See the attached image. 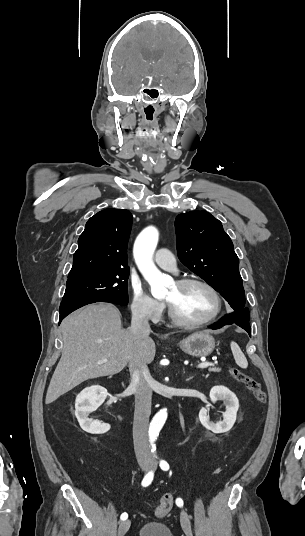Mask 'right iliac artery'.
I'll use <instances>...</instances> for the list:
<instances>
[{
	"instance_id": "1",
	"label": "right iliac artery",
	"mask_w": 305,
	"mask_h": 536,
	"mask_svg": "<svg viewBox=\"0 0 305 536\" xmlns=\"http://www.w3.org/2000/svg\"><path fill=\"white\" fill-rule=\"evenodd\" d=\"M153 477H154L153 472L152 471L148 472L145 475V477H144V479L142 481V486L146 487V486L150 485L152 480H153ZM120 518H121V520H126L128 518V514L126 512H124V513H122Z\"/></svg>"
}]
</instances>
